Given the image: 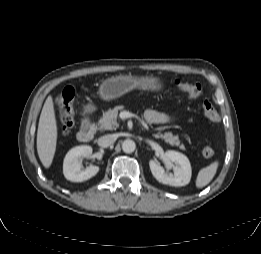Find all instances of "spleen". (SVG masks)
<instances>
[{"mask_svg":"<svg viewBox=\"0 0 261 254\" xmlns=\"http://www.w3.org/2000/svg\"><path fill=\"white\" fill-rule=\"evenodd\" d=\"M218 166H219V162L214 161L207 167L202 168L197 175L196 187L203 188L206 185H208L213 179V177L215 176Z\"/></svg>","mask_w":261,"mask_h":254,"instance_id":"3e777b00","label":"spleen"}]
</instances>
